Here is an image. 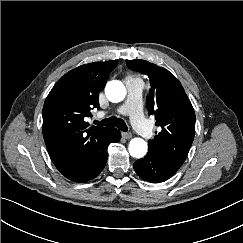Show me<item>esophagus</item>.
I'll use <instances>...</instances> for the list:
<instances>
[{"mask_svg": "<svg viewBox=\"0 0 243 243\" xmlns=\"http://www.w3.org/2000/svg\"><path fill=\"white\" fill-rule=\"evenodd\" d=\"M122 137L125 139H130L132 137V134L129 132H122Z\"/></svg>", "mask_w": 243, "mask_h": 243, "instance_id": "esophagus-1", "label": "esophagus"}]
</instances>
